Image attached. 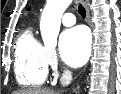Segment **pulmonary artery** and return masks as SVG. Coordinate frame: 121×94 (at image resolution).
<instances>
[{"label":"pulmonary artery","mask_w":121,"mask_h":94,"mask_svg":"<svg viewBox=\"0 0 121 94\" xmlns=\"http://www.w3.org/2000/svg\"><path fill=\"white\" fill-rule=\"evenodd\" d=\"M62 23L65 26H72V25H74L76 23V18L74 16V14H72V13H65L62 16Z\"/></svg>","instance_id":"pulmonary-artery-1"}]
</instances>
